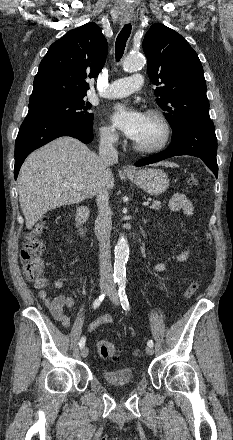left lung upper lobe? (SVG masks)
<instances>
[{
    "label": "left lung upper lobe",
    "mask_w": 233,
    "mask_h": 440,
    "mask_svg": "<svg viewBox=\"0 0 233 440\" xmlns=\"http://www.w3.org/2000/svg\"><path fill=\"white\" fill-rule=\"evenodd\" d=\"M157 104L177 137L193 120H210L206 82L198 55L177 32L153 24L143 40ZM172 137V138H173Z\"/></svg>",
    "instance_id": "1"
}]
</instances>
